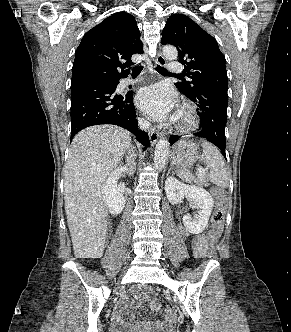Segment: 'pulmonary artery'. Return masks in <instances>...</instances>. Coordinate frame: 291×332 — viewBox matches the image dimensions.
Returning a JSON list of instances; mask_svg holds the SVG:
<instances>
[{"label":"pulmonary artery","instance_id":"1","mask_svg":"<svg viewBox=\"0 0 291 332\" xmlns=\"http://www.w3.org/2000/svg\"><path fill=\"white\" fill-rule=\"evenodd\" d=\"M168 71L171 74L180 73L182 71L181 64L178 63V62H170L168 64ZM135 82H136V80L126 79L122 83H123V85H130V84L135 83Z\"/></svg>","mask_w":291,"mask_h":332}]
</instances>
